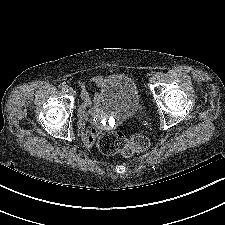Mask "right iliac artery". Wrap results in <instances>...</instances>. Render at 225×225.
Wrapping results in <instances>:
<instances>
[{
	"label": "right iliac artery",
	"mask_w": 225,
	"mask_h": 225,
	"mask_svg": "<svg viewBox=\"0 0 225 225\" xmlns=\"http://www.w3.org/2000/svg\"><path fill=\"white\" fill-rule=\"evenodd\" d=\"M62 89H63L64 91H67V92H68L69 86H68V85H63V86H62Z\"/></svg>",
	"instance_id": "right-iliac-artery-1"
}]
</instances>
